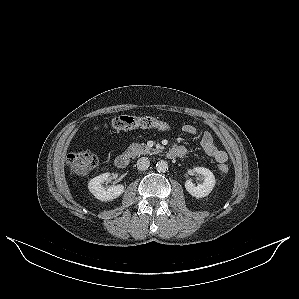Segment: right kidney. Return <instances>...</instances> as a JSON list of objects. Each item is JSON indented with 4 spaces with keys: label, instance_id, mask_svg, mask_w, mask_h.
Here are the masks:
<instances>
[{
    "label": "right kidney",
    "instance_id": "1",
    "mask_svg": "<svg viewBox=\"0 0 299 299\" xmlns=\"http://www.w3.org/2000/svg\"><path fill=\"white\" fill-rule=\"evenodd\" d=\"M110 177V173H103L94 177L88 183L89 191L95 196V198L101 201H110L116 199L124 192L123 185L110 186L105 189L102 183Z\"/></svg>",
    "mask_w": 299,
    "mask_h": 299
}]
</instances>
